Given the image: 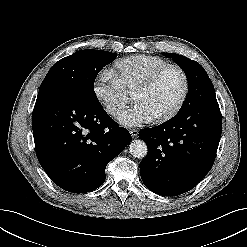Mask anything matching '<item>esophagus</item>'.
Instances as JSON below:
<instances>
[{"label": "esophagus", "instance_id": "34e87169", "mask_svg": "<svg viewBox=\"0 0 247 247\" xmlns=\"http://www.w3.org/2000/svg\"><path fill=\"white\" fill-rule=\"evenodd\" d=\"M130 134L133 138H136L138 135V130L137 129H130Z\"/></svg>", "mask_w": 247, "mask_h": 247}]
</instances>
